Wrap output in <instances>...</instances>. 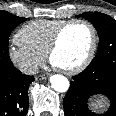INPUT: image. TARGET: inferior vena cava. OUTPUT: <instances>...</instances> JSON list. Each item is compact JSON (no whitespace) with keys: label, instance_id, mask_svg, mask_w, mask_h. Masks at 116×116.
<instances>
[{"label":"inferior vena cava","instance_id":"inferior-vena-cava-1","mask_svg":"<svg viewBox=\"0 0 116 116\" xmlns=\"http://www.w3.org/2000/svg\"><path fill=\"white\" fill-rule=\"evenodd\" d=\"M22 72H24L25 74H31L34 75L36 73H38V66L35 64H29V65H25L21 68Z\"/></svg>","mask_w":116,"mask_h":116}]
</instances>
